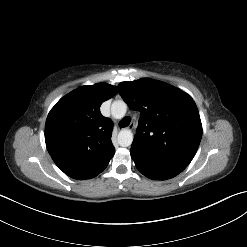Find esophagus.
<instances>
[{"label": "esophagus", "mask_w": 247, "mask_h": 247, "mask_svg": "<svg viewBox=\"0 0 247 247\" xmlns=\"http://www.w3.org/2000/svg\"><path fill=\"white\" fill-rule=\"evenodd\" d=\"M135 127V124L133 122L130 123V125L128 126V128L133 129Z\"/></svg>", "instance_id": "obj_1"}]
</instances>
